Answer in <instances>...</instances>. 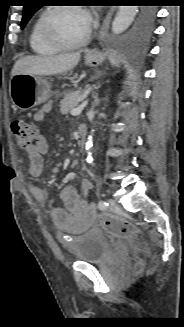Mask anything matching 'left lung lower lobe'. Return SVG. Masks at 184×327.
I'll list each match as a JSON object with an SVG mask.
<instances>
[{
    "label": "left lung lower lobe",
    "instance_id": "obj_1",
    "mask_svg": "<svg viewBox=\"0 0 184 327\" xmlns=\"http://www.w3.org/2000/svg\"><path fill=\"white\" fill-rule=\"evenodd\" d=\"M155 11L146 7L139 18L136 27L121 38L113 41L115 50L123 52L143 51L152 33Z\"/></svg>",
    "mask_w": 184,
    "mask_h": 327
}]
</instances>
